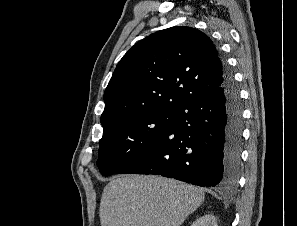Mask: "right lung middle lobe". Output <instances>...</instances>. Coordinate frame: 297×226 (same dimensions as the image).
I'll use <instances>...</instances> for the list:
<instances>
[{
  "label": "right lung middle lobe",
  "mask_w": 297,
  "mask_h": 226,
  "mask_svg": "<svg viewBox=\"0 0 297 226\" xmlns=\"http://www.w3.org/2000/svg\"><path fill=\"white\" fill-rule=\"evenodd\" d=\"M176 111L141 113L104 128L97 166L102 175L117 173L158 139L175 120Z\"/></svg>",
  "instance_id": "dd1d6c3e"
}]
</instances>
